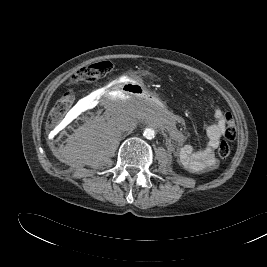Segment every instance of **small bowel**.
<instances>
[{"label":"small bowel","instance_id":"obj_1","mask_svg":"<svg viewBox=\"0 0 267 267\" xmlns=\"http://www.w3.org/2000/svg\"><path fill=\"white\" fill-rule=\"evenodd\" d=\"M210 105L213 111L214 122L206 129L207 145L201 149L185 145L177 151L178 160L191 172L200 173L212 170L218 165L215 150L225 135L226 125L230 116L222 111L213 100H211ZM169 123L171 124V119H169ZM172 133L174 137L179 138V133L175 129H172Z\"/></svg>","mask_w":267,"mask_h":267}]
</instances>
